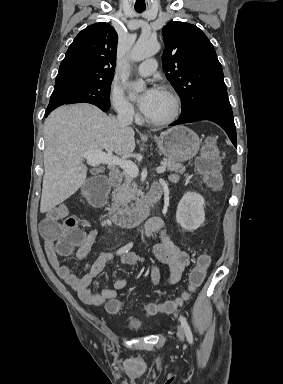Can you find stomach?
Masks as SVG:
<instances>
[{"label":"stomach","instance_id":"obj_1","mask_svg":"<svg viewBox=\"0 0 283 384\" xmlns=\"http://www.w3.org/2000/svg\"><path fill=\"white\" fill-rule=\"evenodd\" d=\"M156 144L170 162H187L199 152L200 140L189 128L175 126L156 138Z\"/></svg>","mask_w":283,"mask_h":384}]
</instances>
